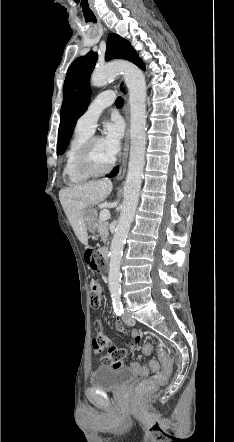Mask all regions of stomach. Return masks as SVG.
<instances>
[{
  "mask_svg": "<svg viewBox=\"0 0 234 442\" xmlns=\"http://www.w3.org/2000/svg\"><path fill=\"white\" fill-rule=\"evenodd\" d=\"M96 216L97 212L93 207L86 209L84 223L89 232H94L96 230Z\"/></svg>",
  "mask_w": 234,
  "mask_h": 442,
  "instance_id": "stomach-1",
  "label": "stomach"
}]
</instances>
